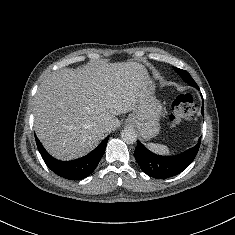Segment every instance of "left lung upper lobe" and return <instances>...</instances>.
I'll list each match as a JSON object with an SVG mask.
<instances>
[{
  "mask_svg": "<svg viewBox=\"0 0 235 235\" xmlns=\"http://www.w3.org/2000/svg\"><path fill=\"white\" fill-rule=\"evenodd\" d=\"M174 69L183 78L185 82L195 87L196 82L193 80V78L190 76V74L187 71L179 69L177 67H174Z\"/></svg>",
  "mask_w": 235,
  "mask_h": 235,
  "instance_id": "5c2ea615",
  "label": "left lung upper lobe"
}]
</instances>
